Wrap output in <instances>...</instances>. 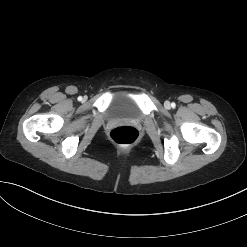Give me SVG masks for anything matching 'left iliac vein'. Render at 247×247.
<instances>
[{
	"label": "left iliac vein",
	"instance_id": "obj_1",
	"mask_svg": "<svg viewBox=\"0 0 247 247\" xmlns=\"http://www.w3.org/2000/svg\"><path fill=\"white\" fill-rule=\"evenodd\" d=\"M164 106L165 108L169 109L171 107V104L169 101H165Z\"/></svg>",
	"mask_w": 247,
	"mask_h": 247
}]
</instances>
